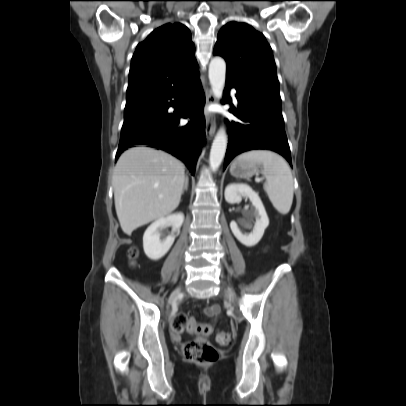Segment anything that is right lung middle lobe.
<instances>
[{"instance_id":"dd1d6c3e","label":"right lung middle lobe","mask_w":406,"mask_h":406,"mask_svg":"<svg viewBox=\"0 0 406 406\" xmlns=\"http://www.w3.org/2000/svg\"><path fill=\"white\" fill-rule=\"evenodd\" d=\"M161 109L162 103L160 99L146 100L126 106L124 110V124L121 131L155 120Z\"/></svg>"}]
</instances>
